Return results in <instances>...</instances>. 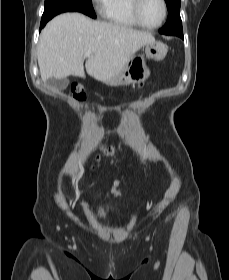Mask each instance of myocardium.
<instances>
[{"instance_id":"f54148a6","label":"myocardium","mask_w":229,"mask_h":280,"mask_svg":"<svg viewBox=\"0 0 229 280\" xmlns=\"http://www.w3.org/2000/svg\"><path fill=\"white\" fill-rule=\"evenodd\" d=\"M160 2L162 5V9H163V15H162L160 22L156 25H148L142 20L141 14H140V9H141L143 0H132L131 12H132L133 18L135 19V21L137 22V24L139 26L146 28V29H151V30L157 29L162 26V24L165 22L166 17H167L168 7H167L166 0H160Z\"/></svg>"}]
</instances>
